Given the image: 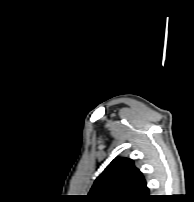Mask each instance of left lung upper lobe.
Instances as JSON below:
<instances>
[{"instance_id": "left-lung-upper-lobe-1", "label": "left lung upper lobe", "mask_w": 194, "mask_h": 202, "mask_svg": "<svg viewBox=\"0 0 194 202\" xmlns=\"http://www.w3.org/2000/svg\"><path fill=\"white\" fill-rule=\"evenodd\" d=\"M148 192L133 160L117 157L96 179L88 197L92 202H143Z\"/></svg>"}]
</instances>
